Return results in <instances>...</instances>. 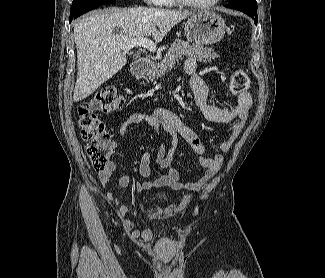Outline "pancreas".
<instances>
[{"label": "pancreas", "instance_id": "cf45deb5", "mask_svg": "<svg viewBox=\"0 0 325 278\" xmlns=\"http://www.w3.org/2000/svg\"><path fill=\"white\" fill-rule=\"evenodd\" d=\"M184 56L193 57L200 62H211V60L219 57L211 48L176 39L169 47L164 58L160 62L153 64L150 74L151 81L162 77L167 70L172 68L176 62L182 60Z\"/></svg>", "mask_w": 325, "mask_h": 278}]
</instances>
